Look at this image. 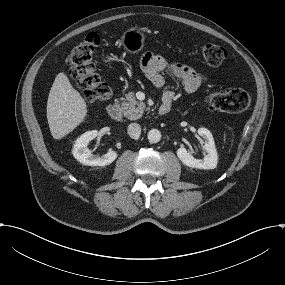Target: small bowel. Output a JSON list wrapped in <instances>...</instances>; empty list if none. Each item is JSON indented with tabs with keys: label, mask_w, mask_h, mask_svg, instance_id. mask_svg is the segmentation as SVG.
<instances>
[{
	"label": "small bowel",
	"mask_w": 285,
	"mask_h": 285,
	"mask_svg": "<svg viewBox=\"0 0 285 285\" xmlns=\"http://www.w3.org/2000/svg\"><path fill=\"white\" fill-rule=\"evenodd\" d=\"M141 69L148 80L156 87L164 86L165 79L162 72H170L178 79L188 93H193L207 82V77L197 72L192 67L178 62H170L162 55L157 53H146L140 60ZM175 94L172 90H166L163 93V99L173 100Z\"/></svg>",
	"instance_id": "c3829d8e"
}]
</instances>
